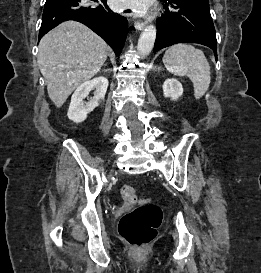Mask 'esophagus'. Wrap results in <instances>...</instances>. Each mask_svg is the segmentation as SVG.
<instances>
[{
	"mask_svg": "<svg viewBox=\"0 0 261 273\" xmlns=\"http://www.w3.org/2000/svg\"><path fill=\"white\" fill-rule=\"evenodd\" d=\"M145 25H146V23L142 22V21H136L134 23L136 30H142L145 27Z\"/></svg>",
	"mask_w": 261,
	"mask_h": 273,
	"instance_id": "34e87169",
	"label": "esophagus"
}]
</instances>
